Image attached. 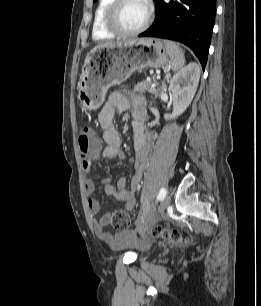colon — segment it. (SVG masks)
Returning <instances> with one entry per match:
<instances>
[{
    "label": "colon",
    "mask_w": 261,
    "mask_h": 306,
    "mask_svg": "<svg viewBox=\"0 0 261 306\" xmlns=\"http://www.w3.org/2000/svg\"><path fill=\"white\" fill-rule=\"evenodd\" d=\"M79 149L83 161L98 155L101 149L100 139L93 133L90 127H83L78 135ZM110 223L117 230H128L131 225L129 214L123 210H116L111 213ZM151 234L163 240H170L174 243H184L188 238L176 229L156 227Z\"/></svg>",
    "instance_id": "5ec220e1"
}]
</instances>
